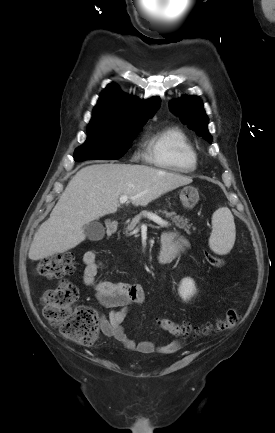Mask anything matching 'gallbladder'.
<instances>
[{
  "mask_svg": "<svg viewBox=\"0 0 275 433\" xmlns=\"http://www.w3.org/2000/svg\"><path fill=\"white\" fill-rule=\"evenodd\" d=\"M84 233L91 241L101 240L105 235V228L98 221L90 222L84 226Z\"/></svg>",
  "mask_w": 275,
  "mask_h": 433,
  "instance_id": "obj_1",
  "label": "gallbladder"
}]
</instances>
